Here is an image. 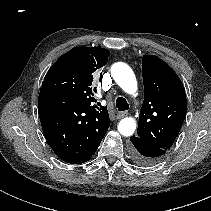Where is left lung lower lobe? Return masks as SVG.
Masks as SVG:
<instances>
[{"mask_svg":"<svg viewBox=\"0 0 211 211\" xmlns=\"http://www.w3.org/2000/svg\"><path fill=\"white\" fill-rule=\"evenodd\" d=\"M130 140V155L138 165L150 166L156 164L166 153L164 149L155 147L138 136L134 135L130 137Z\"/></svg>","mask_w":211,"mask_h":211,"instance_id":"0a47b994","label":"left lung lower lobe"}]
</instances>
